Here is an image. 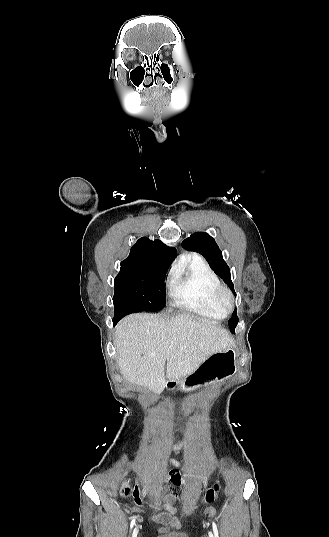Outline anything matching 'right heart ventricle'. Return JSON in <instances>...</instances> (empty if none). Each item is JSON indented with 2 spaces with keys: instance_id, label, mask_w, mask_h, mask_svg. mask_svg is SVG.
<instances>
[{
  "instance_id": "right-heart-ventricle-1",
  "label": "right heart ventricle",
  "mask_w": 329,
  "mask_h": 537,
  "mask_svg": "<svg viewBox=\"0 0 329 537\" xmlns=\"http://www.w3.org/2000/svg\"><path fill=\"white\" fill-rule=\"evenodd\" d=\"M221 286L219 278L201 257H193L180 265L170 283L173 304L187 312L221 319L225 313L214 300V292Z\"/></svg>"
}]
</instances>
